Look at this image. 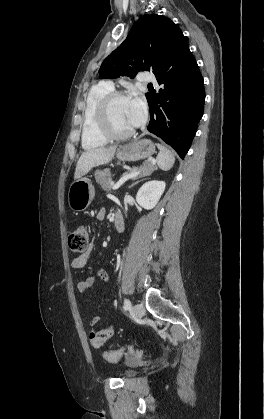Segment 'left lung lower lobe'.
Segmentation results:
<instances>
[{
	"mask_svg": "<svg viewBox=\"0 0 264 419\" xmlns=\"http://www.w3.org/2000/svg\"><path fill=\"white\" fill-rule=\"evenodd\" d=\"M162 62L155 74L160 88L147 94L151 117L148 130L183 159L203 116L204 81L183 34L167 46Z\"/></svg>",
	"mask_w": 264,
	"mask_h": 419,
	"instance_id": "left-lung-lower-lobe-1",
	"label": "left lung lower lobe"
}]
</instances>
